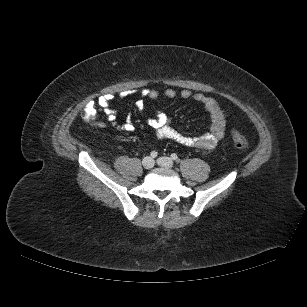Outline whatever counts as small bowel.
Wrapping results in <instances>:
<instances>
[{
	"label": "small bowel",
	"mask_w": 307,
	"mask_h": 307,
	"mask_svg": "<svg viewBox=\"0 0 307 307\" xmlns=\"http://www.w3.org/2000/svg\"><path fill=\"white\" fill-rule=\"evenodd\" d=\"M140 95L141 98L135 102V106L141 113H144L145 100L151 102L155 101L159 97V92L145 89L141 91ZM164 95L169 99H173L177 96V92L174 89H167ZM180 97L182 99L192 98L206 110L211 122L207 132L199 136L184 135L171 125L170 118L161 111H156L155 115L152 117H146L145 120L147 124L154 130L155 136L160 139L172 140L187 147H194L202 152L212 150L225 135L226 118L224 111L215 99L201 93L193 94L190 90L184 89L180 92ZM112 99L113 96L110 94L102 95L97 99V104L106 115V119L109 123L119 130L132 132L134 126L130 117L121 125L117 123L116 111L110 107ZM98 126L104 127L105 124L99 123Z\"/></svg>",
	"instance_id": "c3829d8e"
}]
</instances>
